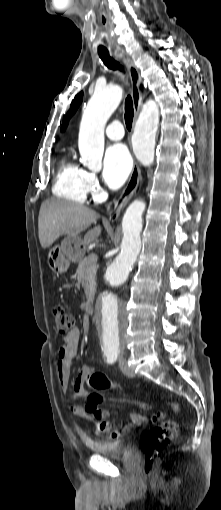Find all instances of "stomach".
<instances>
[{"instance_id":"stomach-1","label":"stomach","mask_w":221,"mask_h":510,"mask_svg":"<svg viewBox=\"0 0 221 510\" xmlns=\"http://www.w3.org/2000/svg\"><path fill=\"white\" fill-rule=\"evenodd\" d=\"M83 241L80 237H66L60 245L48 252V265L57 274L65 273L72 261H79L84 255Z\"/></svg>"}]
</instances>
